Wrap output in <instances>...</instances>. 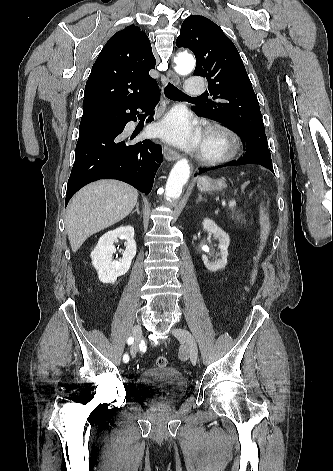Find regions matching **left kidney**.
<instances>
[{"label": "left kidney", "instance_id": "1", "mask_svg": "<svg viewBox=\"0 0 333 471\" xmlns=\"http://www.w3.org/2000/svg\"><path fill=\"white\" fill-rule=\"evenodd\" d=\"M203 229L209 233L214 235V238L219 241V249H220V259L216 260L215 262H210L206 255H202V261L205 267L211 271L216 272L217 270L224 269L227 265V257H228V247L230 243V239L228 234L219 228L216 223L208 218L203 220Z\"/></svg>", "mask_w": 333, "mask_h": 471}]
</instances>
